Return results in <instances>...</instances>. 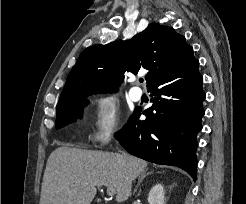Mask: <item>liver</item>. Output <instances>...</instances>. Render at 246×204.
Listing matches in <instances>:
<instances>
[{
  "instance_id": "1",
  "label": "liver",
  "mask_w": 246,
  "mask_h": 204,
  "mask_svg": "<svg viewBox=\"0 0 246 204\" xmlns=\"http://www.w3.org/2000/svg\"><path fill=\"white\" fill-rule=\"evenodd\" d=\"M146 167L128 154L58 147L47 160L40 204H90L102 185L113 187L116 201L124 202Z\"/></svg>"
}]
</instances>
